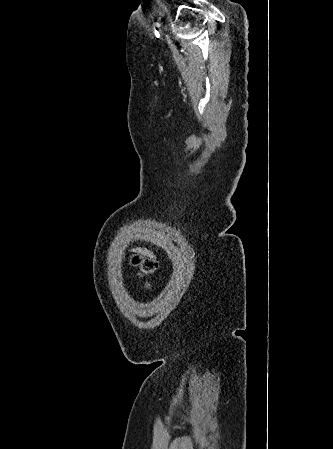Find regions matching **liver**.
Instances as JSON below:
<instances>
[{"label": "liver", "instance_id": "1", "mask_svg": "<svg viewBox=\"0 0 333 449\" xmlns=\"http://www.w3.org/2000/svg\"><path fill=\"white\" fill-rule=\"evenodd\" d=\"M137 250H138V252H141L143 255H151L148 250H145V249L144 250L137 249Z\"/></svg>", "mask_w": 333, "mask_h": 449}]
</instances>
